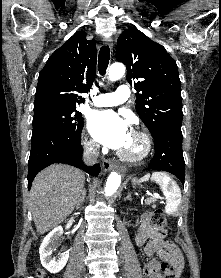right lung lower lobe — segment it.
Wrapping results in <instances>:
<instances>
[{
    "mask_svg": "<svg viewBox=\"0 0 221 278\" xmlns=\"http://www.w3.org/2000/svg\"><path fill=\"white\" fill-rule=\"evenodd\" d=\"M81 133L82 131L50 133L31 142L28 161V190H30L36 174L50 164L67 163L78 168L83 166ZM83 168L92 176H97L100 172L98 164L92 167L83 166Z\"/></svg>",
    "mask_w": 221,
    "mask_h": 278,
    "instance_id": "1",
    "label": "right lung lower lobe"
}]
</instances>
